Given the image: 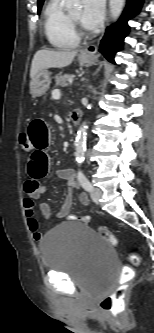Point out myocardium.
<instances>
[{
	"label": "myocardium",
	"mask_w": 154,
	"mask_h": 333,
	"mask_svg": "<svg viewBox=\"0 0 154 333\" xmlns=\"http://www.w3.org/2000/svg\"><path fill=\"white\" fill-rule=\"evenodd\" d=\"M67 16H68V20H69L75 34L79 38L80 37H88L90 35V33L86 29H84L78 21L73 19L69 13L67 14Z\"/></svg>",
	"instance_id": "myocardium-1"
}]
</instances>
